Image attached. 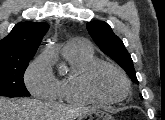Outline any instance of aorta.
I'll list each match as a JSON object with an SVG mask.
<instances>
[{
	"label": "aorta",
	"instance_id": "1",
	"mask_svg": "<svg viewBox=\"0 0 165 120\" xmlns=\"http://www.w3.org/2000/svg\"><path fill=\"white\" fill-rule=\"evenodd\" d=\"M49 55L52 57L53 56V53L52 52H49Z\"/></svg>",
	"mask_w": 165,
	"mask_h": 120
}]
</instances>
